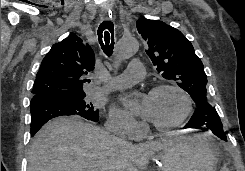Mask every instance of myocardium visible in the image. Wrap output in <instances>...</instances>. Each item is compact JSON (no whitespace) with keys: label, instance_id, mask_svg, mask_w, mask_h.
Here are the masks:
<instances>
[{"label":"myocardium","instance_id":"myocardium-1","mask_svg":"<svg viewBox=\"0 0 245 171\" xmlns=\"http://www.w3.org/2000/svg\"><path fill=\"white\" fill-rule=\"evenodd\" d=\"M165 90H173V91L177 92L182 97V99L184 101V110H183L182 114L180 115V117L170 124L160 125V124L151 122V125L159 131H169V130H172V129L179 127L181 124H183L187 120V118L190 116V114L192 112V99H191V97L182 87H180L176 84H159L150 90V95L158 93V92H162Z\"/></svg>","mask_w":245,"mask_h":171}]
</instances>
